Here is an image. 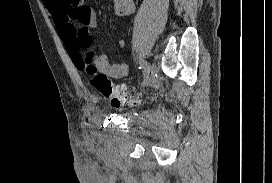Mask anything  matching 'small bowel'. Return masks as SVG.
<instances>
[{
	"label": "small bowel",
	"mask_w": 272,
	"mask_h": 183,
	"mask_svg": "<svg viewBox=\"0 0 272 183\" xmlns=\"http://www.w3.org/2000/svg\"><path fill=\"white\" fill-rule=\"evenodd\" d=\"M44 3L73 63L78 70H84L82 63L86 50L92 45L90 34L96 26L94 10L84 0H44ZM113 4L117 16H128L134 11L133 0H113ZM118 45L123 49L125 41L120 40ZM94 64L112 79H122L129 74V66L124 62L99 59Z\"/></svg>",
	"instance_id": "small-bowel-1"
}]
</instances>
